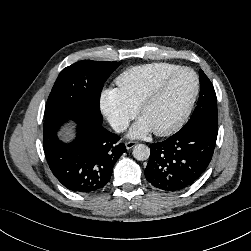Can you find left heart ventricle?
I'll return each instance as SVG.
<instances>
[{
    "label": "left heart ventricle",
    "mask_w": 251,
    "mask_h": 251,
    "mask_svg": "<svg viewBox=\"0 0 251 251\" xmlns=\"http://www.w3.org/2000/svg\"><path fill=\"white\" fill-rule=\"evenodd\" d=\"M195 79L183 72L174 77L158 99L143 114L152 130H162L173 125L183 113L194 91Z\"/></svg>",
    "instance_id": "b2bd125f"
}]
</instances>
